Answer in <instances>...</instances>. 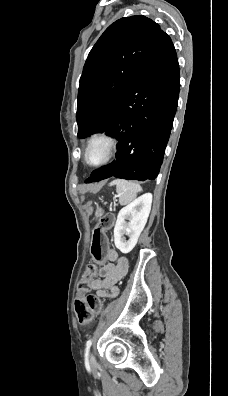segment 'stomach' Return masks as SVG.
<instances>
[{"label": "stomach", "instance_id": "obj_1", "mask_svg": "<svg viewBox=\"0 0 228 396\" xmlns=\"http://www.w3.org/2000/svg\"><path fill=\"white\" fill-rule=\"evenodd\" d=\"M102 213H103V210L101 208H98L96 211V215L101 216Z\"/></svg>", "mask_w": 228, "mask_h": 396}]
</instances>
